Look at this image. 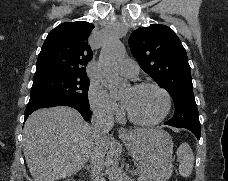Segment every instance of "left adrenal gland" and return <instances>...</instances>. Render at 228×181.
<instances>
[{"label": "left adrenal gland", "mask_w": 228, "mask_h": 181, "mask_svg": "<svg viewBox=\"0 0 228 181\" xmlns=\"http://www.w3.org/2000/svg\"><path fill=\"white\" fill-rule=\"evenodd\" d=\"M129 167H126V171H128ZM130 173H132V175H134L133 171H130Z\"/></svg>", "instance_id": "obj_1"}]
</instances>
